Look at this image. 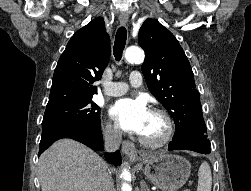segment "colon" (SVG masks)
<instances>
[{
  "mask_svg": "<svg viewBox=\"0 0 251 191\" xmlns=\"http://www.w3.org/2000/svg\"><path fill=\"white\" fill-rule=\"evenodd\" d=\"M184 191H190L189 189H184Z\"/></svg>",
  "mask_w": 251,
  "mask_h": 191,
  "instance_id": "5ec220e1",
  "label": "colon"
}]
</instances>
